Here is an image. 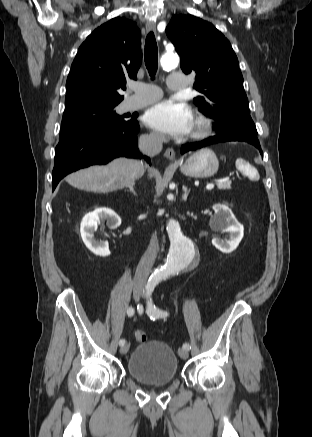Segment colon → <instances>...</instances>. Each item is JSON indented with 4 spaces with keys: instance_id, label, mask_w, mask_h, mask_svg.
<instances>
[{
    "instance_id": "5ec220e1",
    "label": "colon",
    "mask_w": 312,
    "mask_h": 437,
    "mask_svg": "<svg viewBox=\"0 0 312 437\" xmlns=\"http://www.w3.org/2000/svg\"><path fill=\"white\" fill-rule=\"evenodd\" d=\"M134 336H135L136 340L139 342H144L147 339V335H146L145 331H143V330H136L134 333Z\"/></svg>"
}]
</instances>
